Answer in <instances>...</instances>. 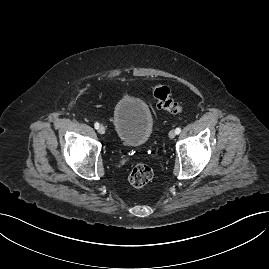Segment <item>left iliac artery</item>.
Segmentation results:
<instances>
[{
    "label": "left iliac artery",
    "mask_w": 269,
    "mask_h": 269,
    "mask_svg": "<svg viewBox=\"0 0 269 269\" xmlns=\"http://www.w3.org/2000/svg\"><path fill=\"white\" fill-rule=\"evenodd\" d=\"M175 132H176V134H179L181 132V128H176Z\"/></svg>",
    "instance_id": "44dca946"
}]
</instances>
